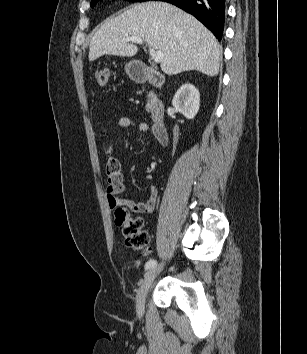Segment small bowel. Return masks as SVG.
Here are the masks:
<instances>
[{
    "label": "small bowel",
    "mask_w": 307,
    "mask_h": 354,
    "mask_svg": "<svg viewBox=\"0 0 307 354\" xmlns=\"http://www.w3.org/2000/svg\"><path fill=\"white\" fill-rule=\"evenodd\" d=\"M118 126L123 129L137 128L140 132H149V125L145 122H137L130 117H121L118 120ZM115 145L107 141L104 145V156L106 160L107 187L106 197L111 208L118 205H125L136 213H152L158 200V190L155 187L149 188L148 198L143 202H134L130 200H121L117 196L123 191V176L120 163L114 157Z\"/></svg>",
    "instance_id": "obj_1"
}]
</instances>
